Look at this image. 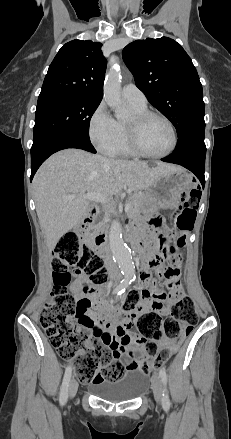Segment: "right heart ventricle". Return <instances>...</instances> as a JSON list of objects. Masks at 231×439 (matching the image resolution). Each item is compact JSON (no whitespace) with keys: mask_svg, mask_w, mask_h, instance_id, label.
Instances as JSON below:
<instances>
[{"mask_svg":"<svg viewBox=\"0 0 231 439\" xmlns=\"http://www.w3.org/2000/svg\"><path fill=\"white\" fill-rule=\"evenodd\" d=\"M130 106L134 113L142 112L147 110L146 105L140 106L133 103H130ZM117 124V132L118 137L114 146L106 151L105 153L112 156H133L134 153L129 147L128 138H127V122L118 121Z\"/></svg>","mask_w":231,"mask_h":439,"instance_id":"obj_1","label":"right heart ventricle"}]
</instances>
